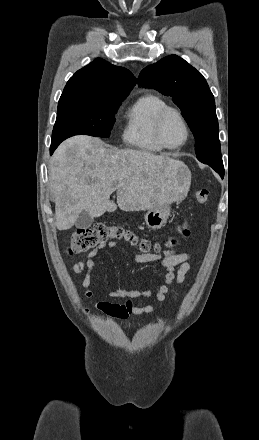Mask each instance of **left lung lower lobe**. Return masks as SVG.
Wrapping results in <instances>:
<instances>
[{"instance_id": "left-lung-lower-lobe-1", "label": "left lung lower lobe", "mask_w": 259, "mask_h": 440, "mask_svg": "<svg viewBox=\"0 0 259 440\" xmlns=\"http://www.w3.org/2000/svg\"><path fill=\"white\" fill-rule=\"evenodd\" d=\"M219 174L221 177H223L224 176V169L220 170Z\"/></svg>"}]
</instances>
